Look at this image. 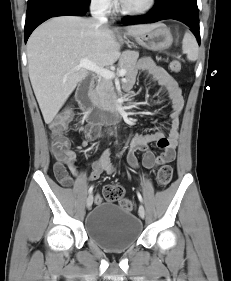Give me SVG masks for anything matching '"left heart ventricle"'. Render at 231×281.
Here are the masks:
<instances>
[{"label":"left heart ventricle","instance_id":"left-heart-ventricle-1","mask_svg":"<svg viewBox=\"0 0 231 281\" xmlns=\"http://www.w3.org/2000/svg\"><path fill=\"white\" fill-rule=\"evenodd\" d=\"M122 2L129 8H141L147 4L148 0H122Z\"/></svg>","mask_w":231,"mask_h":281}]
</instances>
